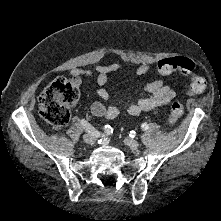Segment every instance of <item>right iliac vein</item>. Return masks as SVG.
I'll return each mask as SVG.
<instances>
[{"instance_id": "1", "label": "right iliac vein", "mask_w": 221, "mask_h": 221, "mask_svg": "<svg viewBox=\"0 0 221 221\" xmlns=\"http://www.w3.org/2000/svg\"><path fill=\"white\" fill-rule=\"evenodd\" d=\"M83 140H84L85 143L90 144V143L94 142L95 137L92 134H84L83 135Z\"/></svg>"}]
</instances>
